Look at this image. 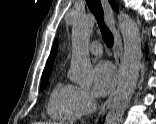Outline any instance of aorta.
Listing matches in <instances>:
<instances>
[{"mask_svg": "<svg viewBox=\"0 0 156 124\" xmlns=\"http://www.w3.org/2000/svg\"><path fill=\"white\" fill-rule=\"evenodd\" d=\"M117 19L124 42L122 73L105 124L121 123L137 85L142 58L141 35L137 23L125 13L118 14ZM94 24L93 16H85L77 19L72 27L70 78L79 85L90 84L93 81L88 45Z\"/></svg>", "mask_w": 156, "mask_h": 124, "instance_id": "762f6f07", "label": "aorta"}]
</instances>
